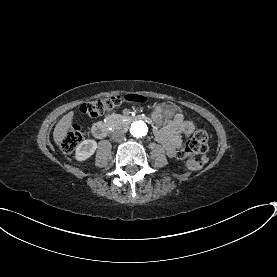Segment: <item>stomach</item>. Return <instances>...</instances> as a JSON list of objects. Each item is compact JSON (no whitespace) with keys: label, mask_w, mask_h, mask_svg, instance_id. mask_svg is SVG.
<instances>
[{"label":"stomach","mask_w":277,"mask_h":277,"mask_svg":"<svg viewBox=\"0 0 277 277\" xmlns=\"http://www.w3.org/2000/svg\"><path fill=\"white\" fill-rule=\"evenodd\" d=\"M164 108V116L170 118L174 115L176 108L169 105H163Z\"/></svg>","instance_id":"1"}]
</instances>
